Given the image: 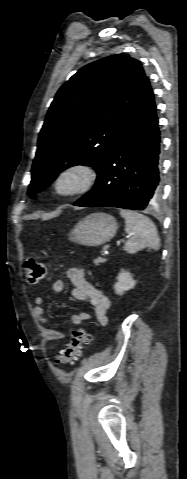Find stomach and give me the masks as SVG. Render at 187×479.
Segmentation results:
<instances>
[{"label":"stomach","instance_id":"stomach-1","mask_svg":"<svg viewBox=\"0 0 187 479\" xmlns=\"http://www.w3.org/2000/svg\"><path fill=\"white\" fill-rule=\"evenodd\" d=\"M117 228V221L113 216L93 213L76 224L69 238L82 245L98 246L109 242L115 236Z\"/></svg>","mask_w":187,"mask_h":479}]
</instances>
